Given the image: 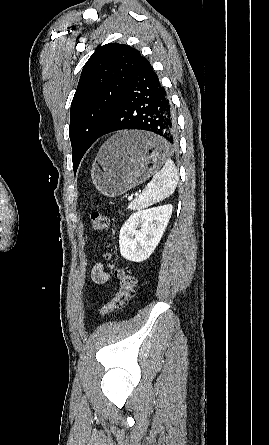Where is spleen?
Returning a JSON list of instances; mask_svg holds the SVG:
<instances>
[{
    "label": "spleen",
    "mask_w": 269,
    "mask_h": 445,
    "mask_svg": "<svg viewBox=\"0 0 269 445\" xmlns=\"http://www.w3.org/2000/svg\"><path fill=\"white\" fill-rule=\"evenodd\" d=\"M178 183V174L172 160L166 159L163 168L156 172L151 183L128 206L131 210H141L164 200L173 194Z\"/></svg>",
    "instance_id": "spleen-1"
}]
</instances>
